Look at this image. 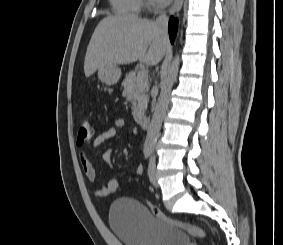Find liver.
Here are the masks:
<instances>
[{
	"mask_svg": "<svg viewBox=\"0 0 283 245\" xmlns=\"http://www.w3.org/2000/svg\"><path fill=\"white\" fill-rule=\"evenodd\" d=\"M169 46L167 32L154 21L132 15L107 16L97 25L87 47L84 73L106 65L140 61L157 65Z\"/></svg>",
	"mask_w": 283,
	"mask_h": 245,
	"instance_id": "obj_1",
	"label": "liver"
}]
</instances>
